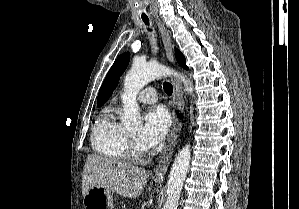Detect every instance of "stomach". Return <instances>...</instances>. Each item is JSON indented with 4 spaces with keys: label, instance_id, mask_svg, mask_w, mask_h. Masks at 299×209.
I'll return each instance as SVG.
<instances>
[{
    "label": "stomach",
    "instance_id": "1",
    "mask_svg": "<svg viewBox=\"0 0 299 209\" xmlns=\"http://www.w3.org/2000/svg\"><path fill=\"white\" fill-rule=\"evenodd\" d=\"M84 209H113L112 191L103 187H93L84 196Z\"/></svg>",
    "mask_w": 299,
    "mask_h": 209
}]
</instances>
